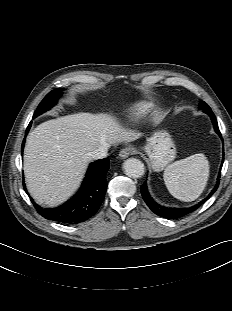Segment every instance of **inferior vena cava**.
I'll return each mask as SVG.
<instances>
[{
  "label": "inferior vena cava",
  "mask_w": 232,
  "mask_h": 311,
  "mask_svg": "<svg viewBox=\"0 0 232 311\" xmlns=\"http://www.w3.org/2000/svg\"><path fill=\"white\" fill-rule=\"evenodd\" d=\"M107 151H108V146H100L99 148L90 152L89 159L97 160V159L105 158L108 155Z\"/></svg>",
  "instance_id": "inferior-vena-cava-1"
}]
</instances>
